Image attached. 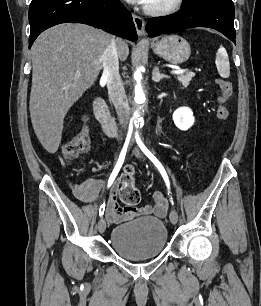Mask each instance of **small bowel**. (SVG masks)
<instances>
[{
  "mask_svg": "<svg viewBox=\"0 0 261 306\" xmlns=\"http://www.w3.org/2000/svg\"><path fill=\"white\" fill-rule=\"evenodd\" d=\"M104 180L88 179L85 182L75 186L72 193L76 199L83 203H91L96 200ZM168 211V201L163 193L155 192L153 194V204L139 209H128L119 206L116 199V189L114 188L109 196L106 207V218L111 223H118L129 220L139 215L154 214L159 218H164Z\"/></svg>",
  "mask_w": 261,
  "mask_h": 306,
  "instance_id": "c3829d8e",
  "label": "small bowel"
}]
</instances>
